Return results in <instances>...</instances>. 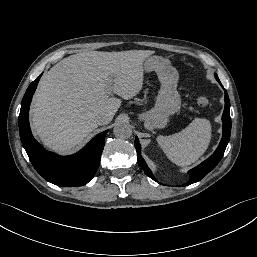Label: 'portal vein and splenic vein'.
<instances>
[{"label": "portal vein and splenic vein", "instance_id": "1", "mask_svg": "<svg viewBox=\"0 0 257 257\" xmlns=\"http://www.w3.org/2000/svg\"><path fill=\"white\" fill-rule=\"evenodd\" d=\"M111 92H112V89L110 86H108L106 89V94L109 96V95H111Z\"/></svg>", "mask_w": 257, "mask_h": 257}]
</instances>
